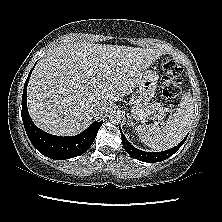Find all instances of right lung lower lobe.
Returning <instances> with one entry per match:
<instances>
[{
  "label": "right lung lower lobe",
  "instance_id": "right-lung-lower-lobe-1",
  "mask_svg": "<svg viewBox=\"0 0 222 222\" xmlns=\"http://www.w3.org/2000/svg\"><path fill=\"white\" fill-rule=\"evenodd\" d=\"M32 70L24 85L21 112L31 143L41 154L55 160L70 159L83 154L94 142L103 121L92 123L85 131L72 137L55 136L39 129L30 118L27 108V85Z\"/></svg>",
  "mask_w": 222,
  "mask_h": 222
}]
</instances>
